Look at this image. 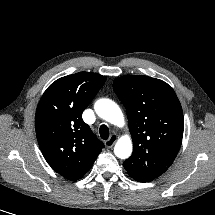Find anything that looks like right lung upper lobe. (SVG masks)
Here are the masks:
<instances>
[{
    "label": "right lung upper lobe",
    "instance_id": "1",
    "mask_svg": "<svg viewBox=\"0 0 215 215\" xmlns=\"http://www.w3.org/2000/svg\"><path fill=\"white\" fill-rule=\"evenodd\" d=\"M105 81L106 76L91 72L62 77L47 88L37 106L35 130L41 152L51 168L69 180L83 177L104 147L82 113Z\"/></svg>",
    "mask_w": 215,
    "mask_h": 215
}]
</instances>
